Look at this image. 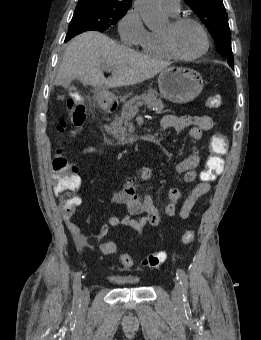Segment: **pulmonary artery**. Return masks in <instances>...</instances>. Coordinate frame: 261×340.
<instances>
[{"label": "pulmonary artery", "mask_w": 261, "mask_h": 340, "mask_svg": "<svg viewBox=\"0 0 261 340\" xmlns=\"http://www.w3.org/2000/svg\"><path fill=\"white\" fill-rule=\"evenodd\" d=\"M163 8L172 16L178 14L180 10V0H160Z\"/></svg>", "instance_id": "1"}]
</instances>
